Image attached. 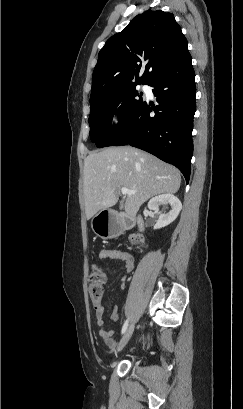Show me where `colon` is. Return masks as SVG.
<instances>
[{"mask_svg": "<svg viewBox=\"0 0 243 409\" xmlns=\"http://www.w3.org/2000/svg\"><path fill=\"white\" fill-rule=\"evenodd\" d=\"M88 289L92 300L99 305L103 296L104 274L98 266H94L89 275Z\"/></svg>", "mask_w": 243, "mask_h": 409, "instance_id": "1", "label": "colon"}]
</instances>
